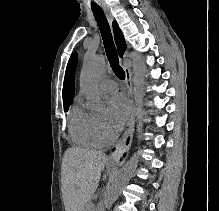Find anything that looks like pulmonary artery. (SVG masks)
<instances>
[{
  "label": "pulmonary artery",
  "instance_id": "1",
  "mask_svg": "<svg viewBox=\"0 0 219 211\" xmlns=\"http://www.w3.org/2000/svg\"><path fill=\"white\" fill-rule=\"evenodd\" d=\"M100 90L106 93H116L118 91V85L111 79H105L100 83Z\"/></svg>",
  "mask_w": 219,
  "mask_h": 211
}]
</instances>
